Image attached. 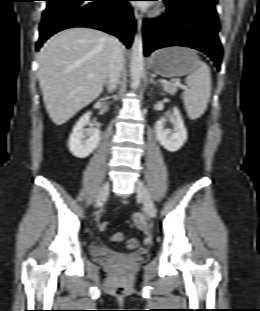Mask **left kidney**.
Masks as SVG:
<instances>
[{
  "label": "left kidney",
  "instance_id": "1",
  "mask_svg": "<svg viewBox=\"0 0 260 311\" xmlns=\"http://www.w3.org/2000/svg\"><path fill=\"white\" fill-rule=\"evenodd\" d=\"M175 132L170 133L164 129L165 119L161 118L155 124V132L160 144L168 151L175 152L179 150L187 140V130L177 107L173 108Z\"/></svg>",
  "mask_w": 260,
  "mask_h": 311
}]
</instances>
